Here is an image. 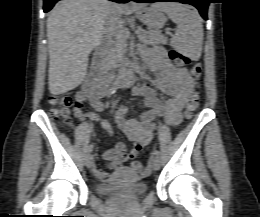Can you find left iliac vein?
<instances>
[{
	"label": "left iliac vein",
	"mask_w": 260,
	"mask_h": 217,
	"mask_svg": "<svg viewBox=\"0 0 260 217\" xmlns=\"http://www.w3.org/2000/svg\"><path fill=\"white\" fill-rule=\"evenodd\" d=\"M150 166L154 170H158L160 168V159L156 155H153L150 160Z\"/></svg>",
	"instance_id": "obj_1"
}]
</instances>
